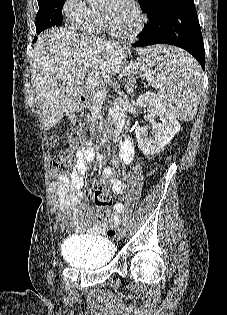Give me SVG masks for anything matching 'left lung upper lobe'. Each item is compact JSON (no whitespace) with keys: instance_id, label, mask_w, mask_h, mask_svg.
Returning a JSON list of instances; mask_svg holds the SVG:
<instances>
[{"instance_id":"5c2ea615","label":"left lung upper lobe","mask_w":227,"mask_h":315,"mask_svg":"<svg viewBox=\"0 0 227 315\" xmlns=\"http://www.w3.org/2000/svg\"><path fill=\"white\" fill-rule=\"evenodd\" d=\"M179 1L187 0H139V4L142 11L146 12L148 17H151L162 8Z\"/></svg>"}]
</instances>
